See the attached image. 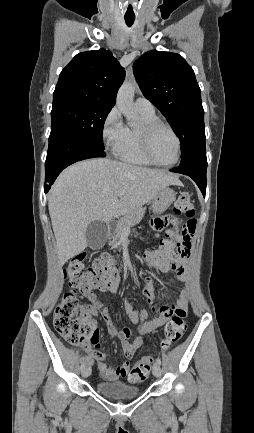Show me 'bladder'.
<instances>
[{
    "mask_svg": "<svg viewBox=\"0 0 254 433\" xmlns=\"http://www.w3.org/2000/svg\"><path fill=\"white\" fill-rule=\"evenodd\" d=\"M96 389L100 394L114 399L137 397L141 392L139 387L121 381H101L96 384Z\"/></svg>",
    "mask_w": 254,
    "mask_h": 433,
    "instance_id": "bladder-1",
    "label": "bladder"
}]
</instances>
